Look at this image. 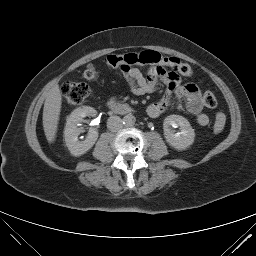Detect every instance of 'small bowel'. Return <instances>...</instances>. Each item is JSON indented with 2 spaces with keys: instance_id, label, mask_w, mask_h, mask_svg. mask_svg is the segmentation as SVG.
Returning <instances> with one entry per match:
<instances>
[{
  "instance_id": "small-bowel-1",
  "label": "small bowel",
  "mask_w": 256,
  "mask_h": 256,
  "mask_svg": "<svg viewBox=\"0 0 256 256\" xmlns=\"http://www.w3.org/2000/svg\"><path fill=\"white\" fill-rule=\"evenodd\" d=\"M168 59L164 58L158 64H151L146 74L136 66H125L119 70L135 95L150 94L155 91L159 83L166 86L164 97L148 106L149 117L157 118L164 113L170 106L171 96L174 95L186 101V108L195 117L198 125H208L210 120L208 115L202 112L203 101L198 87L192 83L182 84L180 74L170 66Z\"/></svg>"
}]
</instances>
